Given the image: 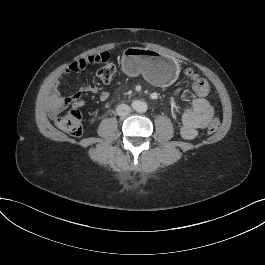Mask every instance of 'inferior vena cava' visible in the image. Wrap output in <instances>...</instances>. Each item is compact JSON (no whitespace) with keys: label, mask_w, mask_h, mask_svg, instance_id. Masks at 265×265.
<instances>
[{"label":"inferior vena cava","mask_w":265,"mask_h":265,"mask_svg":"<svg viewBox=\"0 0 265 265\" xmlns=\"http://www.w3.org/2000/svg\"><path fill=\"white\" fill-rule=\"evenodd\" d=\"M116 112L119 116H127L131 113V108L126 104H120L117 107Z\"/></svg>","instance_id":"inferior-vena-cava-1"}]
</instances>
